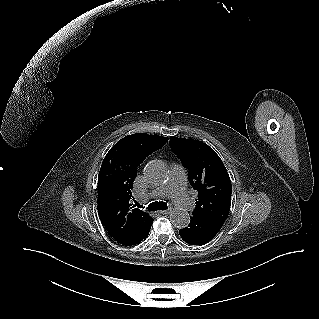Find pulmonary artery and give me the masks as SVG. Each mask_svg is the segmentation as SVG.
Instances as JSON below:
<instances>
[{
  "mask_svg": "<svg viewBox=\"0 0 319 319\" xmlns=\"http://www.w3.org/2000/svg\"><path fill=\"white\" fill-rule=\"evenodd\" d=\"M186 176L183 168L173 165L167 183L151 193L152 197H169L183 211H189L192 207L191 198L185 191Z\"/></svg>",
  "mask_w": 319,
  "mask_h": 319,
  "instance_id": "1",
  "label": "pulmonary artery"
}]
</instances>
